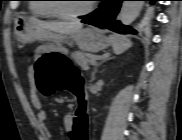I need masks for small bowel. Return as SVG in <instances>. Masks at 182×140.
<instances>
[{"label": "small bowel", "instance_id": "small-bowel-1", "mask_svg": "<svg viewBox=\"0 0 182 140\" xmlns=\"http://www.w3.org/2000/svg\"><path fill=\"white\" fill-rule=\"evenodd\" d=\"M41 57V51L37 50L35 53V60L39 59ZM29 73L32 74L33 73V68L31 67L29 69ZM30 99L32 102L33 107L37 110V119L40 123V126L42 128V130L44 131L45 137L47 140H50L52 137L51 131L49 130L46 121H47V113L46 111L42 108V103L41 100L39 98V96L36 94L35 91H31L30 94ZM64 126L67 130L70 129L71 127V116L67 115L64 117Z\"/></svg>", "mask_w": 182, "mask_h": 140}]
</instances>
